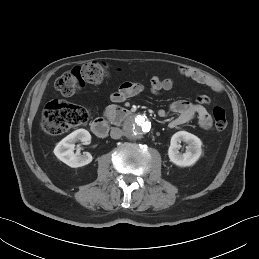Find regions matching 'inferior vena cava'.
Instances as JSON below:
<instances>
[{"mask_svg":"<svg viewBox=\"0 0 259 259\" xmlns=\"http://www.w3.org/2000/svg\"><path fill=\"white\" fill-rule=\"evenodd\" d=\"M123 135V131L119 128H112L110 132V136L113 139H119Z\"/></svg>","mask_w":259,"mask_h":259,"instance_id":"602c4592","label":"inferior vena cava"}]
</instances>
